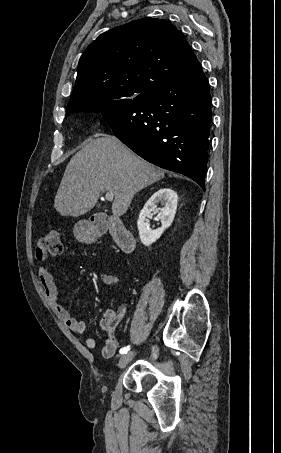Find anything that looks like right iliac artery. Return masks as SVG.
I'll return each instance as SVG.
<instances>
[{
    "mask_svg": "<svg viewBox=\"0 0 281 453\" xmlns=\"http://www.w3.org/2000/svg\"><path fill=\"white\" fill-rule=\"evenodd\" d=\"M129 350H130V348H129V346H127V347L121 348L120 349V353L121 354H126Z\"/></svg>",
    "mask_w": 281,
    "mask_h": 453,
    "instance_id": "obj_1",
    "label": "right iliac artery"
}]
</instances>
